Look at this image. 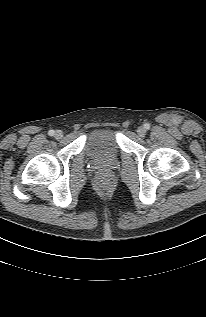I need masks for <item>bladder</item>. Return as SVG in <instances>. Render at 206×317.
<instances>
[{"label":"bladder","mask_w":206,"mask_h":317,"mask_svg":"<svg viewBox=\"0 0 206 317\" xmlns=\"http://www.w3.org/2000/svg\"><path fill=\"white\" fill-rule=\"evenodd\" d=\"M119 151L116 131L111 127H97L87 135L83 154L86 159L107 160L116 158Z\"/></svg>","instance_id":"bladder-1"}]
</instances>
